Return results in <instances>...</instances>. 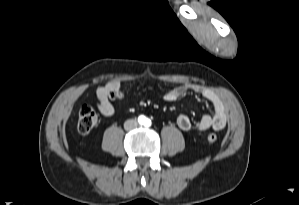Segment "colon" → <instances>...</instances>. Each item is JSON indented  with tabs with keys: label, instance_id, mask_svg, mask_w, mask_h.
Here are the masks:
<instances>
[{
	"label": "colon",
	"instance_id": "colon-1",
	"mask_svg": "<svg viewBox=\"0 0 299 205\" xmlns=\"http://www.w3.org/2000/svg\"><path fill=\"white\" fill-rule=\"evenodd\" d=\"M122 97V94L118 92H113L109 95V99L112 101H117ZM98 122V116L94 109L88 105L82 106L79 112V118L77 123V131L81 135H88L96 126ZM208 141L210 143H215L217 141V136L214 133L208 135Z\"/></svg>",
	"mask_w": 299,
	"mask_h": 205
}]
</instances>
